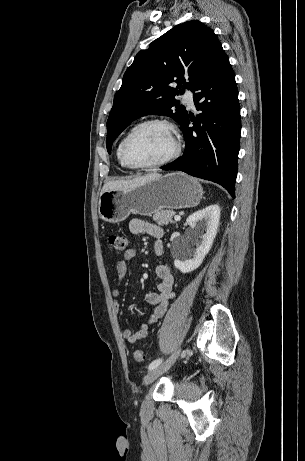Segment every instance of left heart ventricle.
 Returning a JSON list of instances; mask_svg holds the SVG:
<instances>
[{
	"label": "left heart ventricle",
	"instance_id": "1",
	"mask_svg": "<svg viewBox=\"0 0 305 461\" xmlns=\"http://www.w3.org/2000/svg\"><path fill=\"white\" fill-rule=\"evenodd\" d=\"M174 148V142L167 129L159 125L142 128L131 139L129 155L139 164H150L167 157Z\"/></svg>",
	"mask_w": 305,
	"mask_h": 461
}]
</instances>
